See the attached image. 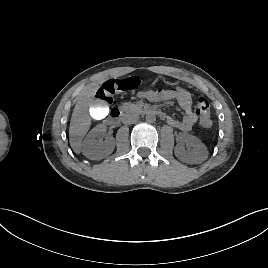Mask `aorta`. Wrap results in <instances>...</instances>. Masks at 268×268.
I'll list each match as a JSON object with an SVG mask.
<instances>
[{
  "mask_svg": "<svg viewBox=\"0 0 268 268\" xmlns=\"http://www.w3.org/2000/svg\"><path fill=\"white\" fill-rule=\"evenodd\" d=\"M145 119H146V121H147L148 123H154V122L156 121V116H155L154 113H152V112H148V113L146 114Z\"/></svg>",
  "mask_w": 268,
  "mask_h": 268,
  "instance_id": "762f6f07",
  "label": "aorta"
}]
</instances>
